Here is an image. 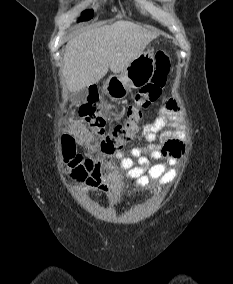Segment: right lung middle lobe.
<instances>
[{
    "label": "right lung middle lobe",
    "instance_id": "obj_1",
    "mask_svg": "<svg viewBox=\"0 0 233 284\" xmlns=\"http://www.w3.org/2000/svg\"><path fill=\"white\" fill-rule=\"evenodd\" d=\"M93 10H86L82 13V17L79 18L80 21L90 20L93 17Z\"/></svg>",
    "mask_w": 233,
    "mask_h": 284
}]
</instances>
